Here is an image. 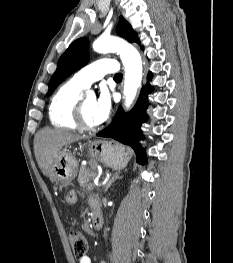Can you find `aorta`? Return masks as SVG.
<instances>
[{
  "label": "aorta",
  "instance_id": "aorta-1",
  "mask_svg": "<svg viewBox=\"0 0 233 263\" xmlns=\"http://www.w3.org/2000/svg\"><path fill=\"white\" fill-rule=\"evenodd\" d=\"M93 49L98 53L117 52L125 67L124 97L125 106L133 102L142 80V61L139 52L119 37L108 36L98 38Z\"/></svg>",
  "mask_w": 233,
  "mask_h": 263
}]
</instances>
